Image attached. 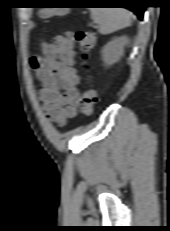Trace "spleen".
I'll return each mask as SVG.
<instances>
[{"label": "spleen", "mask_w": 170, "mask_h": 231, "mask_svg": "<svg viewBox=\"0 0 170 231\" xmlns=\"http://www.w3.org/2000/svg\"><path fill=\"white\" fill-rule=\"evenodd\" d=\"M91 17L103 35L128 27L131 14L124 8H91Z\"/></svg>", "instance_id": "spleen-1"}]
</instances>
